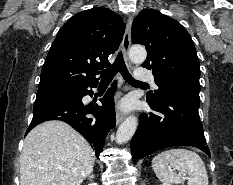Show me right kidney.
Listing matches in <instances>:
<instances>
[{
  "instance_id": "obj_1",
  "label": "right kidney",
  "mask_w": 233,
  "mask_h": 185,
  "mask_svg": "<svg viewBox=\"0 0 233 185\" xmlns=\"http://www.w3.org/2000/svg\"><path fill=\"white\" fill-rule=\"evenodd\" d=\"M88 185H98L97 183H90V184H88Z\"/></svg>"
}]
</instances>
